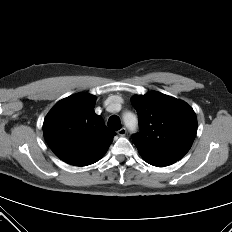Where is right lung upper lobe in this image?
<instances>
[{
	"label": "right lung upper lobe",
	"mask_w": 232,
	"mask_h": 232,
	"mask_svg": "<svg viewBox=\"0 0 232 232\" xmlns=\"http://www.w3.org/2000/svg\"><path fill=\"white\" fill-rule=\"evenodd\" d=\"M95 96L78 93L57 102L43 124L44 138L64 162L87 166L106 153L115 132L94 112Z\"/></svg>",
	"instance_id": "right-lung-upper-lobe-1"
}]
</instances>
